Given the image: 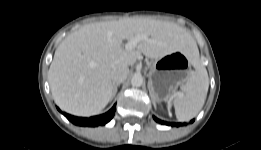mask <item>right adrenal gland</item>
Instances as JSON below:
<instances>
[{
    "label": "right adrenal gland",
    "instance_id": "obj_1",
    "mask_svg": "<svg viewBox=\"0 0 261 150\" xmlns=\"http://www.w3.org/2000/svg\"><path fill=\"white\" fill-rule=\"evenodd\" d=\"M120 84H113V92H112V98L115 96L116 92H117V88Z\"/></svg>",
    "mask_w": 261,
    "mask_h": 150
}]
</instances>
